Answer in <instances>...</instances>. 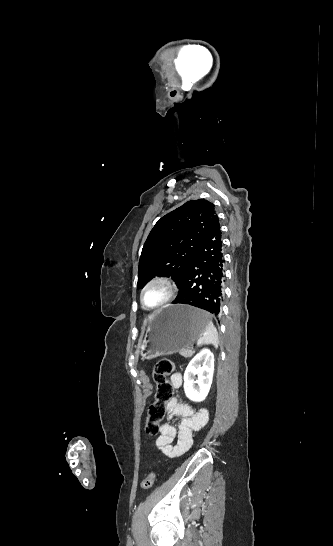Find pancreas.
I'll return each instance as SVG.
<instances>
[{
	"label": "pancreas",
	"mask_w": 333,
	"mask_h": 546,
	"mask_svg": "<svg viewBox=\"0 0 333 546\" xmlns=\"http://www.w3.org/2000/svg\"><path fill=\"white\" fill-rule=\"evenodd\" d=\"M179 354H180L181 356L187 358V357H191V356H192L193 351H192V350H188V349L185 348V349L179 350Z\"/></svg>",
	"instance_id": "cf45deb5"
}]
</instances>
